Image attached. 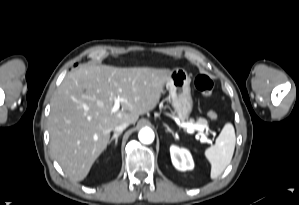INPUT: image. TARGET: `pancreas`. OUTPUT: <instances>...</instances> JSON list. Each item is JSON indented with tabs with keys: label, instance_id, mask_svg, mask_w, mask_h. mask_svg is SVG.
Returning <instances> with one entry per match:
<instances>
[{
	"label": "pancreas",
	"instance_id": "pancreas-1",
	"mask_svg": "<svg viewBox=\"0 0 299 205\" xmlns=\"http://www.w3.org/2000/svg\"><path fill=\"white\" fill-rule=\"evenodd\" d=\"M181 119H183V118H181ZM191 122H193V121H191ZM196 124H198V125H202V126H204V127H207L208 122H207V120L204 119V118H199V119L197 120Z\"/></svg>",
	"mask_w": 299,
	"mask_h": 205
}]
</instances>
